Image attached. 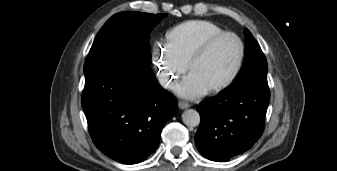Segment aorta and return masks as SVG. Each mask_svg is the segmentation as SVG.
Listing matches in <instances>:
<instances>
[{
  "mask_svg": "<svg viewBox=\"0 0 337 171\" xmlns=\"http://www.w3.org/2000/svg\"><path fill=\"white\" fill-rule=\"evenodd\" d=\"M182 121L186 126L196 127L200 124V115L194 109H188L182 114Z\"/></svg>",
  "mask_w": 337,
  "mask_h": 171,
  "instance_id": "1",
  "label": "aorta"
}]
</instances>
